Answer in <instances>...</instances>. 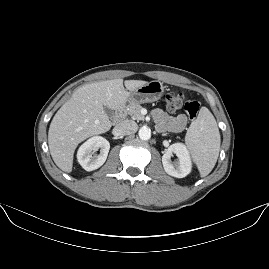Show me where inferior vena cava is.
Returning <instances> with one entry per match:
<instances>
[{
    "mask_svg": "<svg viewBox=\"0 0 269 269\" xmlns=\"http://www.w3.org/2000/svg\"><path fill=\"white\" fill-rule=\"evenodd\" d=\"M138 129V126L135 121L133 120H124L119 126H118V132L122 135H129L136 133Z\"/></svg>",
    "mask_w": 269,
    "mask_h": 269,
    "instance_id": "1",
    "label": "inferior vena cava"
}]
</instances>
